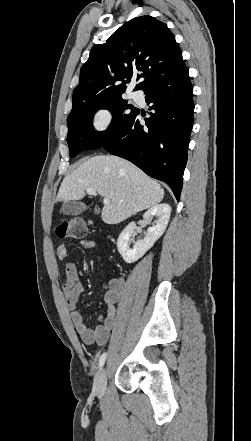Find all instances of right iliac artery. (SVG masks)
<instances>
[{
    "label": "right iliac artery",
    "mask_w": 251,
    "mask_h": 441,
    "mask_svg": "<svg viewBox=\"0 0 251 441\" xmlns=\"http://www.w3.org/2000/svg\"><path fill=\"white\" fill-rule=\"evenodd\" d=\"M106 356H107L106 353H103V354L101 355V357H100V359H99V368H102V366L104 365L105 360H106Z\"/></svg>",
    "instance_id": "1"
}]
</instances>
